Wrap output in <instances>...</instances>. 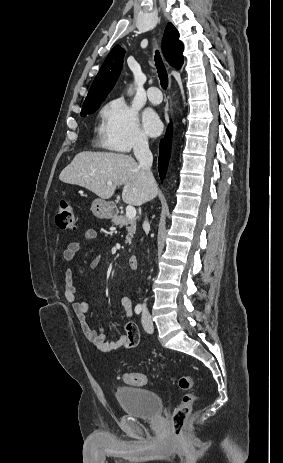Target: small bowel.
Here are the masks:
<instances>
[{
  "mask_svg": "<svg viewBox=\"0 0 283 463\" xmlns=\"http://www.w3.org/2000/svg\"><path fill=\"white\" fill-rule=\"evenodd\" d=\"M98 238L97 231L94 229H88L84 233V239L88 242H95ZM82 244L79 241L70 242L63 252V257L67 261H73L81 249ZM101 262V256H96L90 261V267L95 268ZM74 273L72 269H67L64 273L65 287L64 296L67 302L72 306L75 314L77 315L81 329L87 340L100 352H110L120 347L127 349L135 348L139 343V332L129 318L132 317L133 309L132 302L128 296H121L119 303L124 311L125 316L128 318L122 324L124 334H122L117 340L109 341L106 338L103 328L95 329L86 320V313L88 311V305L76 294L74 283Z\"/></svg>",
  "mask_w": 283,
  "mask_h": 463,
  "instance_id": "c3829d8e",
  "label": "small bowel"
}]
</instances>
